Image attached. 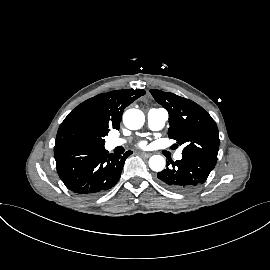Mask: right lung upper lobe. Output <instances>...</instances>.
<instances>
[{"instance_id": "1", "label": "right lung upper lobe", "mask_w": 270, "mask_h": 270, "mask_svg": "<svg viewBox=\"0 0 270 270\" xmlns=\"http://www.w3.org/2000/svg\"><path fill=\"white\" fill-rule=\"evenodd\" d=\"M144 94L134 89L102 93L78 105L66 118L79 116L107 133L111 128L118 130L124 109Z\"/></svg>"}]
</instances>
